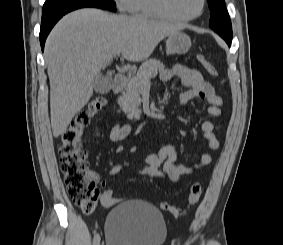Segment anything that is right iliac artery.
Listing matches in <instances>:
<instances>
[{"mask_svg":"<svg viewBox=\"0 0 283 245\" xmlns=\"http://www.w3.org/2000/svg\"><path fill=\"white\" fill-rule=\"evenodd\" d=\"M99 243H100V236L99 234H96L93 239V245H99Z\"/></svg>","mask_w":283,"mask_h":245,"instance_id":"1","label":"right iliac artery"}]
</instances>
